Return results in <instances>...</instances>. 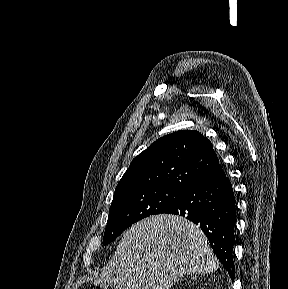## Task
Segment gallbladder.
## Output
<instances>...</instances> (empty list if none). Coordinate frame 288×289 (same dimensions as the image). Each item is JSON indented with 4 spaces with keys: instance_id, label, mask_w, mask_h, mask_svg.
I'll return each mask as SVG.
<instances>
[{
    "instance_id": "gallbladder-1",
    "label": "gallbladder",
    "mask_w": 288,
    "mask_h": 289,
    "mask_svg": "<svg viewBox=\"0 0 288 289\" xmlns=\"http://www.w3.org/2000/svg\"><path fill=\"white\" fill-rule=\"evenodd\" d=\"M110 285H112L110 282L107 281L103 282V286H110Z\"/></svg>"
}]
</instances>
